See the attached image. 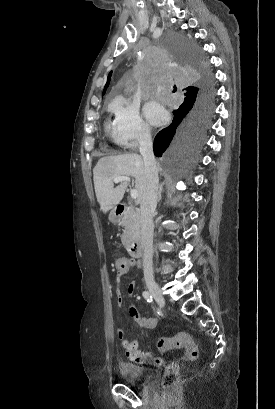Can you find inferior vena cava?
<instances>
[{
	"label": "inferior vena cava",
	"instance_id": "1",
	"mask_svg": "<svg viewBox=\"0 0 275 409\" xmlns=\"http://www.w3.org/2000/svg\"><path fill=\"white\" fill-rule=\"evenodd\" d=\"M140 152L145 164L144 192L140 202L141 241L144 249L143 271L145 279L153 277V215L157 207L158 168L155 162L150 130L139 132Z\"/></svg>",
	"mask_w": 275,
	"mask_h": 409
}]
</instances>
